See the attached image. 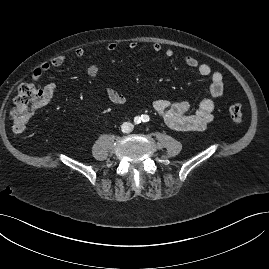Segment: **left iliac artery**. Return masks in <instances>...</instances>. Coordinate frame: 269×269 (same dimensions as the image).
<instances>
[{"label": "left iliac artery", "instance_id": "44dca946", "mask_svg": "<svg viewBox=\"0 0 269 269\" xmlns=\"http://www.w3.org/2000/svg\"><path fill=\"white\" fill-rule=\"evenodd\" d=\"M142 121H143V122H147V121H149V117H148L147 115H144V116L142 117Z\"/></svg>", "mask_w": 269, "mask_h": 269}]
</instances>
